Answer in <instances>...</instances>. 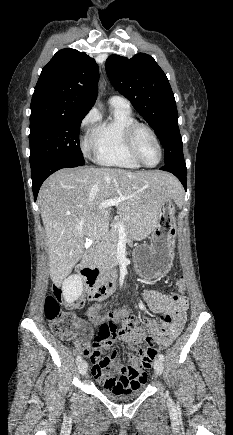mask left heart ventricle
Listing matches in <instances>:
<instances>
[{"mask_svg":"<svg viewBox=\"0 0 233 435\" xmlns=\"http://www.w3.org/2000/svg\"><path fill=\"white\" fill-rule=\"evenodd\" d=\"M136 144L143 161L148 165H154L159 160V152L155 142L147 131L141 129L136 135Z\"/></svg>","mask_w":233,"mask_h":435,"instance_id":"obj_1","label":"left heart ventricle"}]
</instances>
